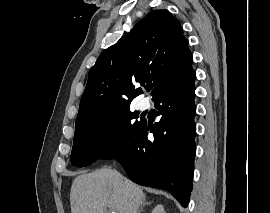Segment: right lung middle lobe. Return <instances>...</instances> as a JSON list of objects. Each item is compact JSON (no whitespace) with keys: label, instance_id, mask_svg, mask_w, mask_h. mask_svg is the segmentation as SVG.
<instances>
[{"label":"right lung middle lobe","instance_id":"dd1d6c3e","mask_svg":"<svg viewBox=\"0 0 270 213\" xmlns=\"http://www.w3.org/2000/svg\"><path fill=\"white\" fill-rule=\"evenodd\" d=\"M135 118L125 105L77 122L71 163L83 167L102 159L137 129L142 120Z\"/></svg>","mask_w":270,"mask_h":213}]
</instances>
